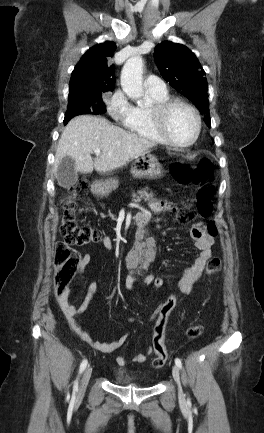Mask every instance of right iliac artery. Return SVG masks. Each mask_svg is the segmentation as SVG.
<instances>
[{
    "label": "right iliac artery",
    "mask_w": 264,
    "mask_h": 433,
    "mask_svg": "<svg viewBox=\"0 0 264 433\" xmlns=\"http://www.w3.org/2000/svg\"><path fill=\"white\" fill-rule=\"evenodd\" d=\"M87 364H88V361L86 359L82 361V363L80 365V369H79V374H81L85 370ZM77 390H78V379L75 380V382H74L73 396L75 395V393H76Z\"/></svg>",
    "instance_id": "obj_1"
}]
</instances>
